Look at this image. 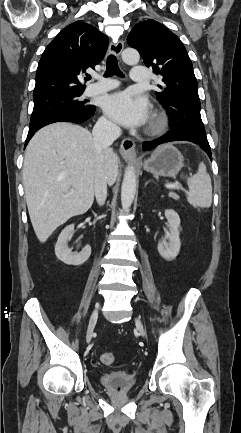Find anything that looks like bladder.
Listing matches in <instances>:
<instances>
[{
  "label": "bladder",
  "mask_w": 241,
  "mask_h": 433,
  "mask_svg": "<svg viewBox=\"0 0 241 433\" xmlns=\"http://www.w3.org/2000/svg\"><path fill=\"white\" fill-rule=\"evenodd\" d=\"M99 380L105 388L115 392L129 391L136 384L135 376L125 371H112L102 374Z\"/></svg>",
  "instance_id": "bladder-1"
}]
</instances>
